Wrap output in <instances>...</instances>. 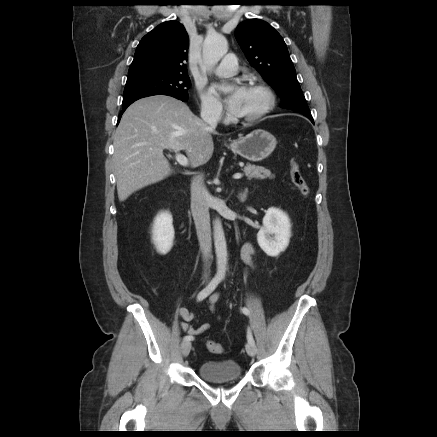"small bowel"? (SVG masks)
<instances>
[{
	"mask_svg": "<svg viewBox=\"0 0 437 437\" xmlns=\"http://www.w3.org/2000/svg\"><path fill=\"white\" fill-rule=\"evenodd\" d=\"M254 255V248L252 246V244L250 243H246L243 245L242 250H241V256L242 259L250 264L252 262V258ZM219 299V294H213L210 299H209V310L211 313H213L215 311V304ZM177 314L178 316H180L182 318V322L180 324L181 328L183 331L187 332L188 335L190 336H197L200 335L202 333H204L205 331L210 329V324L205 323L202 324L199 327H194L192 322L196 321V315L192 312H190L188 309L186 308H179L177 310Z\"/></svg>",
	"mask_w": 437,
	"mask_h": 437,
	"instance_id": "small-bowel-1",
	"label": "small bowel"
}]
</instances>
